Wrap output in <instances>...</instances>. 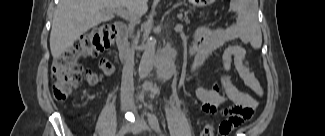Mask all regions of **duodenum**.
Returning <instances> with one entry per match:
<instances>
[{
  "instance_id": "1",
  "label": "duodenum",
  "mask_w": 325,
  "mask_h": 136,
  "mask_svg": "<svg viewBox=\"0 0 325 136\" xmlns=\"http://www.w3.org/2000/svg\"><path fill=\"white\" fill-rule=\"evenodd\" d=\"M115 30L117 32L118 49L124 58H127L130 51V43L127 37V26L124 23H116Z\"/></svg>"
}]
</instances>
